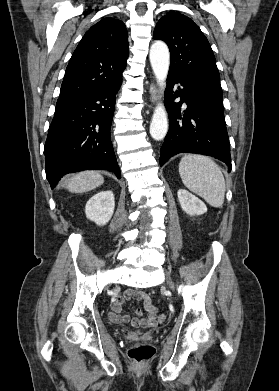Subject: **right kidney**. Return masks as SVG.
Returning a JSON list of instances; mask_svg holds the SVG:
<instances>
[{
    "instance_id": "obj_1",
    "label": "right kidney",
    "mask_w": 279,
    "mask_h": 391,
    "mask_svg": "<svg viewBox=\"0 0 279 391\" xmlns=\"http://www.w3.org/2000/svg\"><path fill=\"white\" fill-rule=\"evenodd\" d=\"M115 208L112 191H101L92 196L86 203V217L97 225H106L111 219Z\"/></svg>"
}]
</instances>
